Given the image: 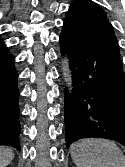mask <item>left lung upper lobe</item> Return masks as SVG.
<instances>
[{
  "label": "left lung upper lobe",
  "mask_w": 125,
  "mask_h": 167,
  "mask_svg": "<svg viewBox=\"0 0 125 167\" xmlns=\"http://www.w3.org/2000/svg\"><path fill=\"white\" fill-rule=\"evenodd\" d=\"M98 20H106V13L100 6L91 0H76L70 5L64 21L92 23Z\"/></svg>",
  "instance_id": "obj_1"
}]
</instances>
